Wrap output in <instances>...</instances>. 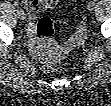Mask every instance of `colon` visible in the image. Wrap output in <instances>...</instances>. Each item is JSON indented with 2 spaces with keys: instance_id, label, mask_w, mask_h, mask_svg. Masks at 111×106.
I'll use <instances>...</instances> for the list:
<instances>
[{
  "instance_id": "colon-1",
  "label": "colon",
  "mask_w": 111,
  "mask_h": 106,
  "mask_svg": "<svg viewBox=\"0 0 111 106\" xmlns=\"http://www.w3.org/2000/svg\"><path fill=\"white\" fill-rule=\"evenodd\" d=\"M36 33L40 38L38 47H47L50 49V57L44 61V70L50 73L55 72L59 67L57 59L61 56L62 49L53 46L52 42L50 41V37L54 33V26L51 18L47 16L41 17L37 22Z\"/></svg>"
}]
</instances>
